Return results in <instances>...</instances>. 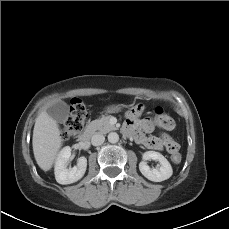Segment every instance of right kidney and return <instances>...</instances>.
Returning <instances> with one entry per match:
<instances>
[{
    "instance_id": "right-kidney-1",
    "label": "right kidney",
    "mask_w": 229,
    "mask_h": 229,
    "mask_svg": "<svg viewBox=\"0 0 229 229\" xmlns=\"http://www.w3.org/2000/svg\"><path fill=\"white\" fill-rule=\"evenodd\" d=\"M71 156V148L64 147L58 154L55 162V179L59 184H71L80 180L86 171L87 159L82 156L78 159L77 166L68 169L67 164Z\"/></svg>"
}]
</instances>
